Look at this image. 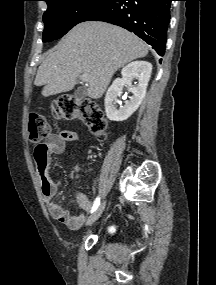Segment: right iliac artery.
Instances as JSON below:
<instances>
[{
    "instance_id": "1",
    "label": "right iliac artery",
    "mask_w": 216,
    "mask_h": 285,
    "mask_svg": "<svg viewBox=\"0 0 216 285\" xmlns=\"http://www.w3.org/2000/svg\"><path fill=\"white\" fill-rule=\"evenodd\" d=\"M99 205H100V197H97L92 206L91 213L94 212L98 208Z\"/></svg>"
}]
</instances>
